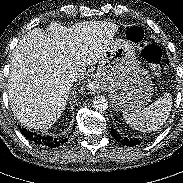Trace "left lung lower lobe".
Segmentation results:
<instances>
[{"instance_id": "0a47b994", "label": "left lung lower lobe", "mask_w": 183, "mask_h": 183, "mask_svg": "<svg viewBox=\"0 0 183 183\" xmlns=\"http://www.w3.org/2000/svg\"><path fill=\"white\" fill-rule=\"evenodd\" d=\"M111 135L116 141L126 146H134L140 143L139 139H128L127 137L120 136V134H118L114 128H111Z\"/></svg>"}]
</instances>
